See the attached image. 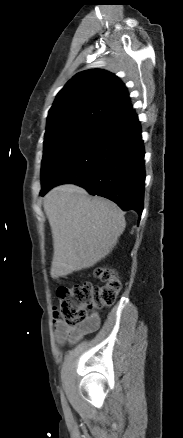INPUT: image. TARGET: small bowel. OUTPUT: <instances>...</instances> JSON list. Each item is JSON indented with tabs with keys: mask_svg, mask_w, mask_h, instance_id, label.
<instances>
[{
	"mask_svg": "<svg viewBox=\"0 0 183 438\" xmlns=\"http://www.w3.org/2000/svg\"><path fill=\"white\" fill-rule=\"evenodd\" d=\"M100 325V316L98 313L91 314L87 321L80 327L67 326L62 320L55 323V333L59 341L69 340L75 342L87 333L95 331Z\"/></svg>",
	"mask_w": 183,
	"mask_h": 438,
	"instance_id": "small-bowel-1",
	"label": "small bowel"
}]
</instances>
